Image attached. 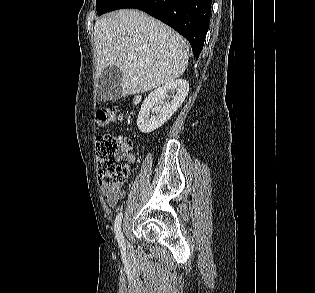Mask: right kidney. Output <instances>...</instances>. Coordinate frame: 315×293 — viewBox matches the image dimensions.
<instances>
[{"mask_svg":"<svg viewBox=\"0 0 315 293\" xmlns=\"http://www.w3.org/2000/svg\"><path fill=\"white\" fill-rule=\"evenodd\" d=\"M189 92L184 79L171 81L154 91L144 100L137 119L142 133H150L161 127L178 110ZM171 93V95H169ZM167 98V101H163Z\"/></svg>","mask_w":315,"mask_h":293,"instance_id":"ca27d5eb","label":"right kidney"}]
</instances>
